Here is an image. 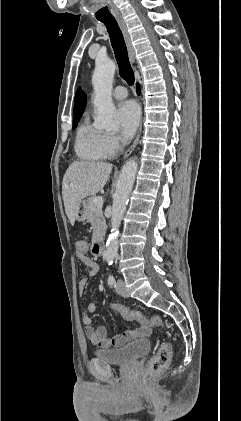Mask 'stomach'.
Masks as SVG:
<instances>
[{
  "instance_id": "stomach-1",
  "label": "stomach",
  "mask_w": 241,
  "mask_h": 421,
  "mask_svg": "<svg viewBox=\"0 0 241 421\" xmlns=\"http://www.w3.org/2000/svg\"><path fill=\"white\" fill-rule=\"evenodd\" d=\"M87 218V204L85 201H80L76 211H75V219L77 221H85Z\"/></svg>"
}]
</instances>
